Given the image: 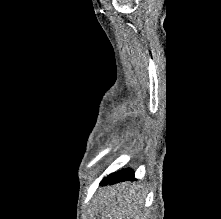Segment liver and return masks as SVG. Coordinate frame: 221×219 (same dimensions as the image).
Returning a JSON list of instances; mask_svg holds the SVG:
<instances>
[{"instance_id":"obj_1","label":"liver","mask_w":221,"mask_h":219,"mask_svg":"<svg viewBox=\"0 0 221 219\" xmlns=\"http://www.w3.org/2000/svg\"><path fill=\"white\" fill-rule=\"evenodd\" d=\"M95 211L101 219H143L145 194L131 183H120L100 192Z\"/></svg>"}]
</instances>
